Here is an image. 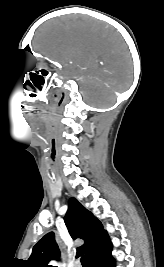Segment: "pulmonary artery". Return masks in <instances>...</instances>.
Listing matches in <instances>:
<instances>
[{"instance_id":"pulmonary-artery-1","label":"pulmonary artery","mask_w":164,"mask_h":267,"mask_svg":"<svg viewBox=\"0 0 164 267\" xmlns=\"http://www.w3.org/2000/svg\"><path fill=\"white\" fill-rule=\"evenodd\" d=\"M75 267H80V265H79V264H77V265H75Z\"/></svg>"}]
</instances>
